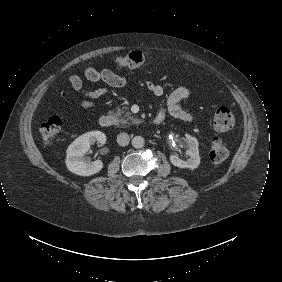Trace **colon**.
<instances>
[{"instance_id": "5ec220e1", "label": "colon", "mask_w": 282, "mask_h": 282, "mask_svg": "<svg viewBox=\"0 0 282 282\" xmlns=\"http://www.w3.org/2000/svg\"><path fill=\"white\" fill-rule=\"evenodd\" d=\"M150 60L148 54L142 51H130L117 58L119 69H137L147 64ZM234 125V115L229 108H218L212 117V126L215 132H228ZM62 127L60 117L53 116L44 121L40 128L42 142L49 144L58 136ZM210 157L213 162H222L229 157V150L226 143L220 138H214L210 144Z\"/></svg>"}]
</instances>
